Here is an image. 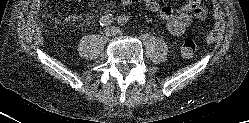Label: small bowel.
<instances>
[{
  "label": "small bowel",
  "instance_id": "1",
  "mask_svg": "<svg viewBox=\"0 0 249 123\" xmlns=\"http://www.w3.org/2000/svg\"><path fill=\"white\" fill-rule=\"evenodd\" d=\"M136 3H144L148 10L158 13L168 31L176 36L182 35L193 20H202L207 15V8L202 0H189L177 10L168 5H162L158 0H121L123 6Z\"/></svg>",
  "mask_w": 249,
  "mask_h": 123
}]
</instances>
